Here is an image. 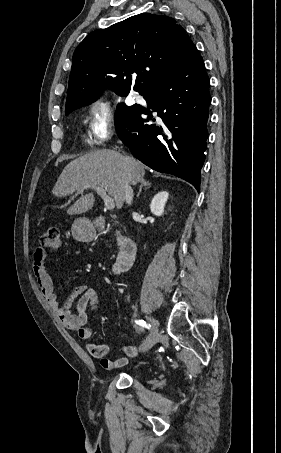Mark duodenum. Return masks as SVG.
<instances>
[{"instance_id": "410a0bca", "label": "duodenum", "mask_w": 281, "mask_h": 453, "mask_svg": "<svg viewBox=\"0 0 281 453\" xmlns=\"http://www.w3.org/2000/svg\"><path fill=\"white\" fill-rule=\"evenodd\" d=\"M99 224H102V221H99ZM136 253V243L128 237L121 236L119 238V252L113 266V272L117 274L127 270L133 264Z\"/></svg>"}]
</instances>
